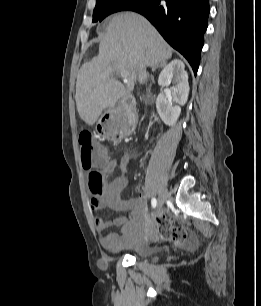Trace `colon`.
<instances>
[{
	"label": "colon",
	"mask_w": 261,
	"mask_h": 306,
	"mask_svg": "<svg viewBox=\"0 0 261 306\" xmlns=\"http://www.w3.org/2000/svg\"><path fill=\"white\" fill-rule=\"evenodd\" d=\"M136 110L133 107L125 109L122 115H118L112 125H104L101 133H114L120 135L123 133L128 123H132L136 117ZM95 133L84 131L79 135V151L82 167L89 171V188L94 198L102 192L104 187L103 176L100 171L94 170L96 162L106 158L107 153L104 149L96 150L93 144ZM155 224L159 235L164 241L173 242L176 245H182L187 238L184 229L172 224L170 218L166 215H159L155 219Z\"/></svg>",
	"instance_id": "1"
}]
</instances>
